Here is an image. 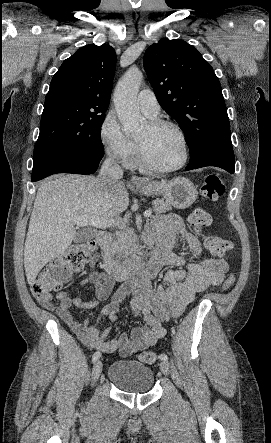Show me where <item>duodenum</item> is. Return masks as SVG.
Returning a JSON list of instances; mask_svg holds the SVG:
<instances>
[{
    "label": "duodenum",
    "mask_w": 271,
    "mask_h": 443,
    "mask_svg": "<svg viewBox=\"0 0 271 443\" xmlns=\"http://www.w3.org/2000/svg\"><path fill=\"white\" fill-rule=\"evenodd\" d=\"M97 243L104 251L103 268L111 276L124 279L138 277L144 273L143 261L141 259L115 260L110 253L111 235L108 232H99L96 235Z\"/></svg>",
    "instance_id": "410a0bca"
}]
</instances>
